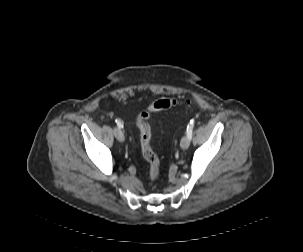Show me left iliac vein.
Here are the masks:
<instances>
[{"mask_svg": "<svg viewBox=\"0 0 303 252\" xmlns=\"http://www.w3.org/2000/svg\"><path fill=\"white\" fill-rule=\"evenodd\" d=\"M190 142H191V136L186 134L181 140L180 143L181 148L186 150L189 147Z\"/></svg>", "mask_w": 303, "mask_h": 252, "instance_id": "4c4485c4", "label": "left iliac vein"}]
</instances>
